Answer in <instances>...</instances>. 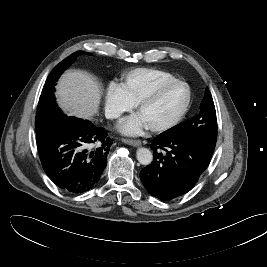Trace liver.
Segmentation results:
<instances>
[{
  "label": "liver",
  "mask_w": 267,
  "mask_h": 267,
  "mask_svg": "<svg viewBox=\"0 0 267 267\" xmlns=\"http://www.w3.org/2000/svg\"><path fill=\"white\" fill-rule=\"evenodd\" d=\"M56 97L60 107L69 115L91 119L99 110L101 88L89 74L70 71L60 78Z\"/></svg>",
  "instance_id": "liver-1"
}]
</instances>
